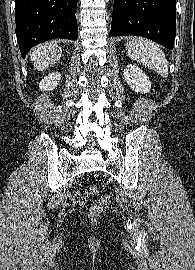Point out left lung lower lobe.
Returning a JSON list of instances; mask_svg holds the SVG:
<instances>
[{"instance_id": "1", "label": "left lung lower lobe", "mask_w": 195, "mask_h": 270, "mask_svg": "<svg viewBox=\"0 0 195 270\" xmlns=\"http://www.w3.org/2000/svg\"><path fill=\"white\" fill-rule=\"evenodd\" d=\"M176 0H115L110 35H137L173 49Z\"/></svg>"}]
</instances>
